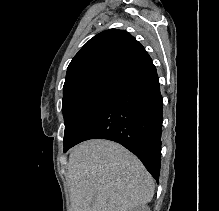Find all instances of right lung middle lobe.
Here are the masks:
<instances>
[{"mask_svg":"<svg viewBox=\"0 0 219 211\" xmlns=\"http://www.w3.org/2000/svg\"><path fill=\"white\" fill-rule=\"evenodd\" d=\"M115 85L100 84L63 99L64 152L70 149L85 125Z\"/></svg>","mask_w":219,"mask_h":211,"instance_id":"1","label":"right lung middle lobe"}]
</instances>
